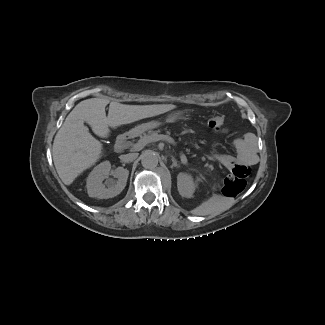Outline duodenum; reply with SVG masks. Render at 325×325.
<instances>
[{
    "mask_svg": "<svg viewBox=\"0 0 325 325\" xmlns=\"http://www.w3.org/2000/svg\"><path fill=\"white\" fill-rule=\"evenodd\" d=\"M128 144V135H122L120 136L115 144V148L117 150H123Z\"/></svg>",
    "mask_w": 325,
    "mask_h": 325,
    "instance_id": "duodenum-1",
    "label": "duodenum"
}]
</instances>
